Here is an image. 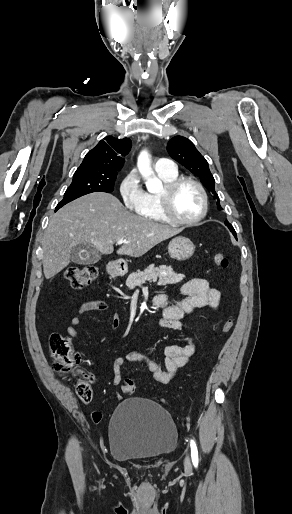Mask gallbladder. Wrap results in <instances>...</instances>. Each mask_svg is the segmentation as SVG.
<instances>
[{
    "label": "gallbladder",
    "instance_id": "bac80fb5",
    "mask_svg": "<svg viewBox=\"0 0 292 514\" xmlns=\"http://www.w3.org/2000/svg\"><path fill=\"white\" fill-rule=\"evenodd\" d=\"M98 256L91 248V246H87V244H77V246H73L70 254L71 262L74 264H83V266H87V264H95Z\"/></svg>",
    "mask_w": 292,
    "mask_h": 514
}]
</instances>
